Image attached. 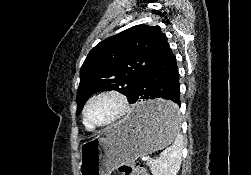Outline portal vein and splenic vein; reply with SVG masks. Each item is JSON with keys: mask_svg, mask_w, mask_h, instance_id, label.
Listing matches in <instances>:
<instances>
[{"mask_svg": "<svg viewBox=\"0 0 251 175\" xmlns=\"http://www.w3.org/2000/svg\"><path fill=\"white\" fill-rule=\"evenodd\" d=\"M159 155H161V152H159V151H153L152 154L141 155L140 156V161L141 162H146L147 161V157H154V156H159Z\"/></svg>", "mask_w": 251, "mask_h": 175, "instance_id": "18ae733b", "label": "portal vein and splenic vein"}]
</instances>
